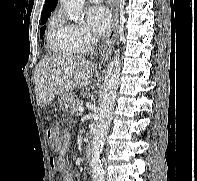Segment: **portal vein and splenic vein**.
<instances>
[{
  "label": "portal vein and splenic vein",
  "instance_id": "18ae733b",
  "mask_svg": "<svg viewBox=\"0 0 197 181\" xmlns=\"http://www.w3.org/2000/svg\"><path fill=\"white\" fill-rule=\"evenodd\" d=\"M78 111H79V114H82L84 112V108L81 106L79 107Z\"/></svg>",
  "mask_w": 197,
  "mask_h": 181
}]
</instances>
